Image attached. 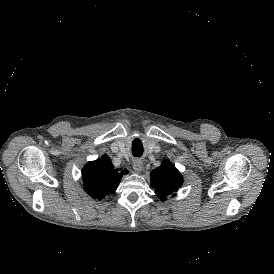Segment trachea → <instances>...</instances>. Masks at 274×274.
Masks as SVG:
<instances>
[{"mask_svg": "<svg viewBox=\"0 0 274 274\" xmlns=\"http://www.w3.org/2000/svg\"><path fill=\"white\" fill-rule=\"evenodd\" d=\"M132 155L135 158H140L143 155V148H139V149H135L134 151H132Z\"/></svg>", "mask_w": 274, "mask_h": 274, "instance_id": "obj_1", "label": "trachea"}]
</instances>
